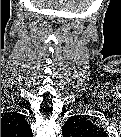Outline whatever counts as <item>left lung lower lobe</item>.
I'll list each match as a JSON object with an SVG mask.
<instances>
[{
	"mask_svg": "<svg viewBox=\"0 0 121 137\" xmlns=\"http://www.w3.org/2000/svg\"><path fill=\"white\" fill-rule=\"evenodd\" d=\"M64 135H68V133H63Z\"/></svg>",
	"mask_w": 121,
	"mask_h": 137,
	"instance_id": "1",
	"label": "left lung lower lobe"
}]
</instances>
